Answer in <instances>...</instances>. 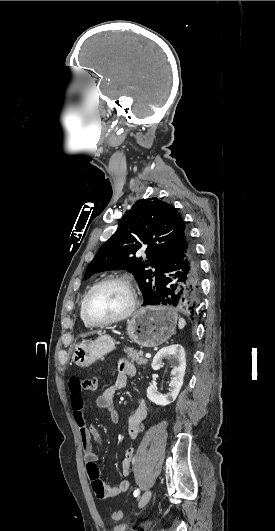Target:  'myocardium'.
Segmentation results:
<instances>
[{"mask_svg":"<svg viewBox=\"0 0 275 531\" xmlns=\"http://www.w3.org/2000/svg\"><path fill=\"white\" fill-rule=\"evenodd\" d=\"M109 283L122 284L129 290V292L131 294V302H130L129 308L123 314H121V315H119L117 317L108 319V320H104V321H93V320H90L86 316V313H85V305H86V302H87L88 298L90 297V295L95 290H97L101 286L109 284ZM138 301H139V292H138L137 288L135 287V285L132 283V281L128 277H126V276H118V275L109 276V277H106V278L100 280L99 282L94 284L88 290V292L85 294V296L83 297V299L81 301L80 314H81L82 320L89 326H92V327L108 326V325H112V324H115V323H118V322H121V321H124V320L128 319L134 313V311L136 310L137 305H138Z\"/></svg>","mask_w":275,"mask_h":531,"instance_id":"obj_1","label":"myocardium"}]
</instances>
